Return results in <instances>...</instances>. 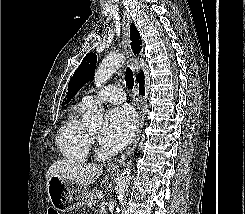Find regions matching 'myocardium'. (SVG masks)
<instances>
[{"label": "myocardium", "instance_id": "obj_1", "mask_svg": "<svg viewBox=\"0 0 245 214\" xmlns=\"http://www.w3.org/2000/svg\"><path fill=\"white\" fill-rule=\"evenodd\" d=\"M87 137H88L89 142H92L94 140V137L88 132H87Z\"/></svg>", "mask_w": 245, "mask_h": 214}]
</instances>
